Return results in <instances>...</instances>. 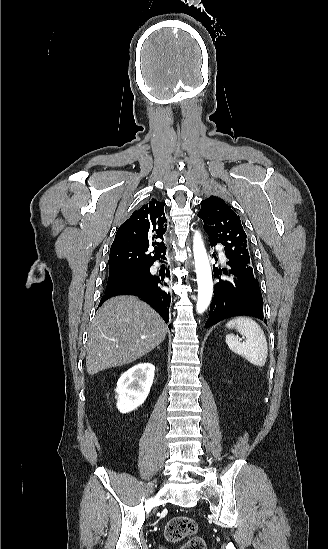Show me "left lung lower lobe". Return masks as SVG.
Returning a JSON list of instances; mask_svg holds the SVG:
<instances>
[{"label": "left lung lower lobe", "instance_id": "0a47b994", "mask_svg": "<svg viewBox=\"0 0 328 549\" xmlns=\"http://www.w3.org/2000/svg\"><path fill=\"white\" fill-rule=\"evenodd\" d=\"M227 265L229 269H223V271L213 266L214 276L219 280L215 285L210 314L205 327L235 316H251L266 322L263 316V299L258 279L255 278L253 272L229 259ZM222 273L229 278L221 280Z\"/></svg>", "mask_w": 328, "mask_h": 549}]
</instances>
